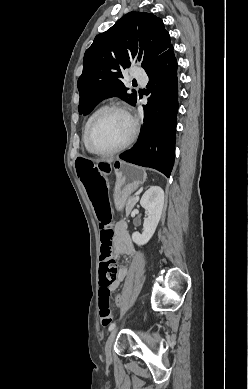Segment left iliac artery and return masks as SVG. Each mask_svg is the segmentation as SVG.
Returning <instances> with one entry per match:
<instances>
[{
  "label": "left iliac artery",
  "instance_id": "obj_1",
  "mask_svg": "<svg viewBox=\"0 0 248 389\" xmlns=\"http://www.w3.org/2000/svg\"><path fill=\"white\" fill-rule=\"evenodd\" d=\"M115 326H116V323H115V322H114V323H111L110 326H109V328H108V330H109V331L113 330V329L115 328Z\"/></svg>",
  "mask_w": 248,
  "mask_h": 389
}]
</instances>
